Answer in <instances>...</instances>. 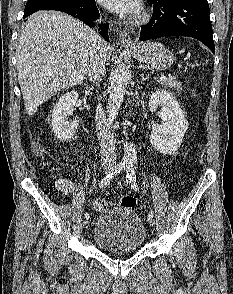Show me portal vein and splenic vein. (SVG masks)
Segmentation results:
<instances>
[{"instance_id":"portal-vein-and-splenic-vein-1","label":"portal vein and splenic vein","mask_w":233,"mask_h":294,"mask_svg":"<svg viewBox=\"0 0 233 294\" xmlns=\"http://www.w3.org/2000/svg\"><path fill=\"white\" fill-rule=\"evenodd\" d=\"M170 77H168V76H166V75H162L161 77H160V81H166L167 79H169ZM173 78H175V77H173Z\"/></svg>"}]
</instances>
